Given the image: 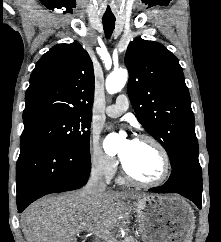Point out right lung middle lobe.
Here are the masks:
<instances>
[{"label":"right lung middle lobe","mask_w":221,"mask_h":242,"mask_svg":"<svg viewBox=\"0 0 221 242\" xmlns=\"http://www.w3.org/2000/svg\"><path fill=\"white\" fill-rule=\"evenodd\" d=\"M90 116L51 118L24 125L21 139L47 138L65 145L90 149Z\"/></svg>","instance_id":"obj_1"}]
</instances>
